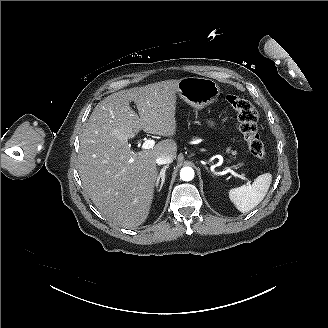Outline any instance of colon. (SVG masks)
<instances>
[{
  "instance_id": "1",
  "label": "colon",
  "mask_w": 328,
  "mask_h": 328,
  "mask_svg": "<svg viewBox=\"0 0 328 328\" xmlns=\"http://www.w3.org/2000/svg\"><path fill=\"white\" fill-rule=\"evenodd\" d=\"M226 100L237 114L239 130L247 143L250 153L256 158L264 160L267 154L258 134L256 109L250 101L234 94H229Z\"/></svg>"
}]
</instances>
